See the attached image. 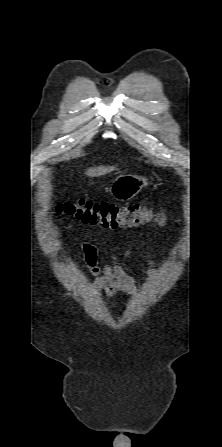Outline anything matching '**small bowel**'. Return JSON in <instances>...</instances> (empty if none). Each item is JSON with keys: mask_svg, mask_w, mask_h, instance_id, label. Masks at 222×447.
Returning <instances> with one entry per match:
<instances>
[{"mask_svg": "<svg viewBox=\"0 0 222 447\" xmlns=\"http://www.w3.org/2000/svg\"><path fill=\"white\" fill-rule=\"evenodd\" d=\"M83 249L87 269L95 276L93 288L96 295H99L101 292H105L109 297H117L120 295L134 296L136 294V280L119 265L118 257L114 256L109 264L100 265L94 245L86 242L83 244ZM128 255V252L124 253V256ZM148 264L149 280L145 282L147 288L150 287L156 273L155 262L149 260Z\"/></svg>", "mask_w": 222, "mask_h": 447, "instance_id": "c3829d8e", "label": "small bowel"}]
</instances>
